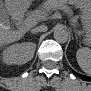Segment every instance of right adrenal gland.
I'll return each mask as SVG.
<instances>
[{
    "mask_svg": "<svg viewBox=\"0 0 91 91\" xmlns=\"http://www.w3.org/2000/svg\"><path fill=\"white\" fill-rule=\"evenodd\" d=\"M31 33H32V34H37V33L33 32L32 30H31Z\"/></svg>",
    "mask_w": 91,
    "mask_h": 91,
    "instance_id": "right-adrenal-gland-1",
    "label": "right adrenal gland"
}]
</instances>
